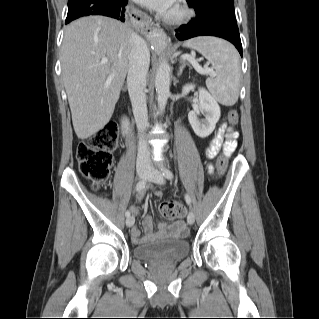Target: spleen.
<instances>
[{
	"instance_id": "1",
	"label": "spleen",
	"mask_w": 319,
	"mask_h": 319,
	"mask_svg": "<svg viewBox=\"0 0 319 319\" xmlns=\"http://www.w3.org/2000/svg\"><path fill=\"white\" fill-rule=\"evenodd\" d=\"M208 59L215 75L207 78L206 86L214 99L225 106L238 101L241 68L236 49L228 42L215 37H197L183 44Z\"/></svg>"
}]
</instances>
